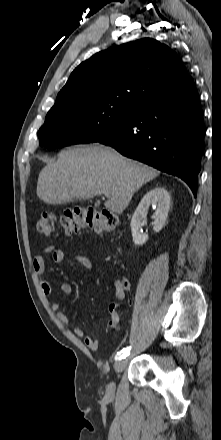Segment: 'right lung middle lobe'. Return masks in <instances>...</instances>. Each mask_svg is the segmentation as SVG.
<instances>
[{
    "instance_id": "1",
    "label": "right lung middle lobe",
    "mask_w": 221,
    "mask_h": 440,
    "mask_svg": "<svg viewBox=\"0 0 221 440\" xmlns=\"http://www.w3.org/2000/svg\"><path fill=\"white\" fill-rule=\"evenodd\" d=\"M133 110L134 107L117 103L72 104L52 109L38 132L40 146L55 149L97 142L119 128Z\"/></svg>"
}]
</instances>
